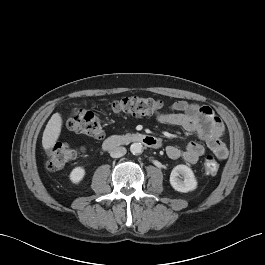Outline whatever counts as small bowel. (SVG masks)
I'll return each mask as SVG.
<instances>
[{
  "instance_id": "small-bowel-1",
  "label": "small bowel",
  "mask_w": 265,
  "mask_h": 265,
  "mask_svg": "<svg viewBox=\"0 0 265 265\" xmlns=\"http://www.w3.org/2000/svg\"><path fill=\"white\" fill-rule=\"evenodd\" d=\"M157 121L165 125L179 126L187 132L196 134L217 158L227 157V148L221 141L224 126L211 107L178 100L171 104L169 112L160 114ZM166 152L171 159L181 158L189 164H195L205 153V147L193 141L183 150L177 146H168Z\"/></svg>"
}]
</instances>
